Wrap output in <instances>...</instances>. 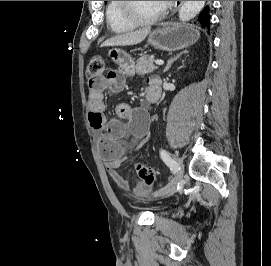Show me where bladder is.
Here are the masks:
<instances>
[{"label": "bladder", "instance_id": "31cf9c89", "mask_svg": "<svg viewBox=\"0 0 271 266\" xmlns=\"http://www.w3.org/2000/svg\"><path fill=\"white\" fill-rule=\"evenodd\" d=\"M167 213V211H161L159 214L160 215H164V214H166Z\"/></svg>", "mask_w": 271, "mask_h": 266}]
</instances>
